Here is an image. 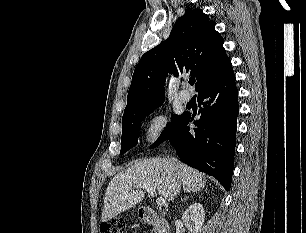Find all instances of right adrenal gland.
<instances>
[{
	"label": "right adrenal gland",
	"instance_id": "2a0ac1e0",
	"mask_svg": "<svg viewBox=\"0 0 306 233\" xmlns=\"http://www.w3.org/2000/svg\"><path fill=\"white\" fill-rule=\"evenodd\" d=\"M199 193L200 191H196V192H194L193 194H195V193ZM190 196H192V194L190 195ZM190 196H186L183 200H182V202H184V201H186Z\"/></svg>",
	"mask_w": 306,
	"mask_h": 233
}]
</instances>
